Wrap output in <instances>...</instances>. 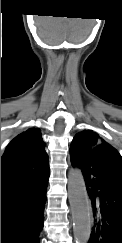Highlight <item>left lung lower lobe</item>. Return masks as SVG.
Here are the masks:
<instances>
[{"mask_svg": "<svg viewBox=\"0 0 122 243\" xmlns=\"http://www.w3.org/2000/svg\"><path fill=\"white\" fill-rule=\"evenodd\" d=\"M88 192V243H122V158L117 150L82 157L77 162Z\"/></svg>", "mask_w": 122, "mask_h": 243, "instance_id": "left-lung-lower-lobe-1", "label": "left lung lower lobe"}]
</instances>
